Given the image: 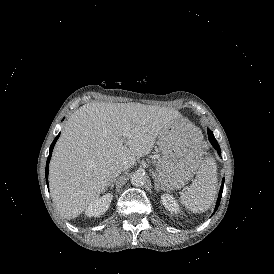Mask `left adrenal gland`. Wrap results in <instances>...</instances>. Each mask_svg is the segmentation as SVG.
<instances>
[{
  "instance_id": "obj_1",
  "label": "left adrenal gland",
  "mask_w": 274,
  "mask_h": 274,
  "mask_svg": "<svg viewBox=\"0 0 274 274\" xmlns=\"http://www.w3.org/2000/svg\"><path fill=\"white\" fill-rule=\"evenodd\" d=\"M161 189V187L158 185V184H156V191L159 193V190Z\"/></svg>"
}]
</instances>
